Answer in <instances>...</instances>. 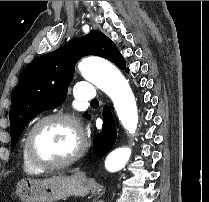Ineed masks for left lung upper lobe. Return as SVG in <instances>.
Instances as JSON below:
<instances>
[{
	"mask_svg": "<svg viewBox=\"0 0 209 202\" xmlns=\"http://www.w3.org/2000/svg\"><path fill=\"white\" fill-rule=\"evenodd\" d=\"M86 55L103 57L120 69L129 70L114 42L98 30L73 38L57 50L40 56L24 68L14 91L10 111L12 148L31 119L65 101L75 64ZM84 116L91 118L87 112Z\"/></svg>",
	"mask_w": 209,
	"mask_h": 202,
	"instance_id": "5c2ea615",
	"label": "left lung upper lobe"
}]
</instances>
